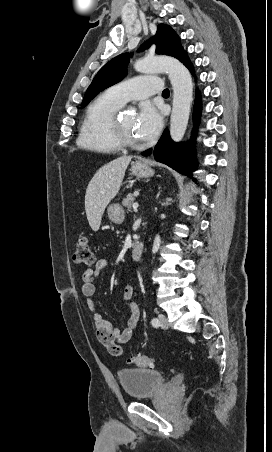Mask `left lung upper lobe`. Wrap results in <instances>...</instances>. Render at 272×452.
<instances>
[{"mask_svg": "<svg viewBox=\"0 0 272 452\" xmlns=\"http://www.w3.org/2000/svg\"><path fill=\"white\" fill-rule=\"evenodd\" d=\"M156 44V53L173 56L179 60L186 54L180 44L179 37L173 29L165 24L158 25L156 35L150 42L141 47L145 49L151 43ZM130 54H120L106 63L94 77L88 87L81 107H85L100 91L116 84L126 76Z\"/></svg>", "mask_w": 272, "mask_h": 452, "instance_id": "obj_1", "label": "left lung upper lobe"}]
</instances>
